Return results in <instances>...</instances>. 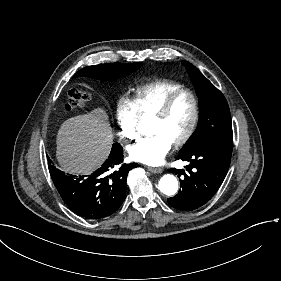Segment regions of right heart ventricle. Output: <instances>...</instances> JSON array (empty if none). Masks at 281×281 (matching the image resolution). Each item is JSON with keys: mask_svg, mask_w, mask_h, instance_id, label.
<instances>
[{"mask_svg": "<svg viewBox=\"0 0 281 281\" xmlns=\"http://www.w3.org/2000/svg\"><path fill=\"white\" fill-rule=\"evenodd\" d=\"M185 87L173 81H158L132 93L130 103L139 117L155 111L170 95Z\"/></svg>", "mask_w": 281, "mask_h": 281, "instance_id": "obj_1", "label": "right heart ventricle"}]
</instances>
